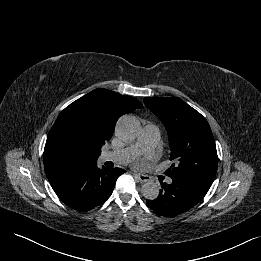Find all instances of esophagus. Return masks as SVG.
Segmentation results:
<instances>
[{
    "instance_id": "esophagus-1",
    "label": "esophagus",
    "mask_w": 261,
    "mask_h": 261,
    "mask_svg": "<svg viewBox=\"0 0 261 261\" xmlns=\"http://www.w3.org/2000/svg\"><path fill=\"white\" fill-rule=\"evenodd\" d=\"M135 177L141 182V183H144V182H147L150 180V177L147 176V175H143V174H140V173H135Z\"/></svg>"
}]
</instances>
